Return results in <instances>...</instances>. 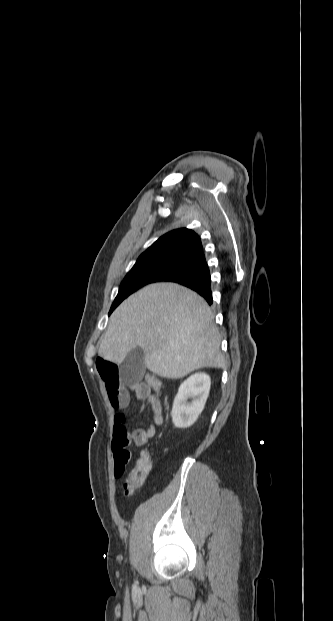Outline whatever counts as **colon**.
Here are the masks:
<instances>
[{"label": "colon", "instance_id": "5ec220e1", "mask_svg": "<svg viewBox=\"0 0 333 621\" xmlns=\"http://www.w3.org/2000/svg\"><path fill=\"white\" fill-rule=\"evenodd\" d=\"M151 389L159 393L161 390V380L153 374H149L146 377ZM151 470V457L147 451L141 452L135 465L129 472L128 476L124 480V491L126 496H131L139 487L142 486ZM123 475L122 471H116L115 476L120 478Z\"/></svg>", "mask_w": 333, "mask_h": 621}]
</instances>
